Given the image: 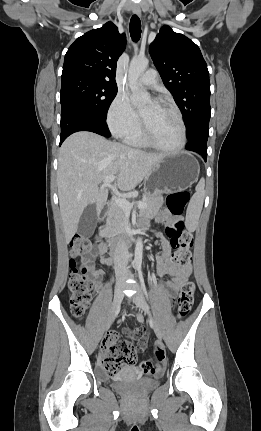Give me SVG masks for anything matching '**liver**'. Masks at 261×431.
Returning <instances> with one entry per match:
<instances>
[{"instance_id": "6515ba94", "label": "liver", "mask_w": 261, "mask_h": 431, "mask_svg": "<svg viewBox=\"0 0 261 431\" xmlns=\"http://www.w3.org/2000/svg\"><path fill=\"white\" fill-rule=\"evenodd\" d=\"M164 157L147 153L120 143L111 142L91 132L69 136L59 152L57 187L60 213L66 243L78 230L85 208L95 204L101 210L108 196L100 189L107 176L117 177V187L129 191L139 184Z\"/></svg>"}]
</instances>
